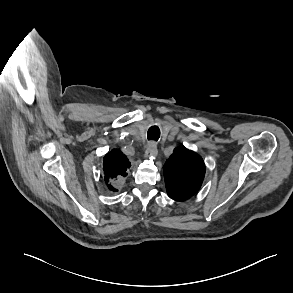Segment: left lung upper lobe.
Listing matches in <instances>:
<instances>
[{
	"instance_id": "left-lung-upper-lobe-1",
	"label": "left lung upper lobe",
	"mask_w": 293,
	"mask_h": 293,
	"mask_svg": "<svg viewBox=\"0 0 293 293\" xmlns=\"http://www.w3.org/2000/svg\"><path fill=\"white\" fill-rule=\"evenodd\" d=\"M204 175L203 159L184 146H179L164 165L168 196L176 201L189 199L199 190Z\"/></svg>"
}]
</instances>
